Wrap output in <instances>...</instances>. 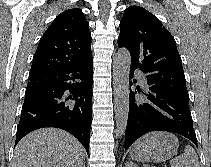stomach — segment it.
Instances as JSON below:
<instances>
[{"label":"stomach","mask_w":211,"mask_h":167,"mask_svg":"<svg viewBox=\"0 0 211 167\" xmlns=\"http://www.w3.org/2000/svg\"><path fill=\"white\" fill-rule=\"evenodd\" d=\"M179 147L175 135L152 132L139 139L130 149V156L141 162H162L177 153Z\"/></svg>","instance_id":"0dacf381"}]
</instances>
